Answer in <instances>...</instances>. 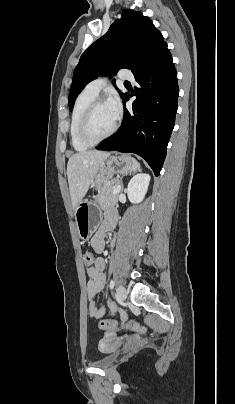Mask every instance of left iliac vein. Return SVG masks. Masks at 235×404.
<instances>
[{
    "label": "left iliac vein",
    "instance_id": "1",
    "mask_svg": "<svg viewBox=\"0 0 235 404\" xmlns=\"http://www.w3.org/2000/svg\"><path fill=\"white\" fill-rule=\"evenodd\" d=\"M126 289L123 285H119L117 288V298L119 303H123L126 299Z\"/></svg>",
    "mask_w": 235,
    "mask_h": 404
}]
</instances>
